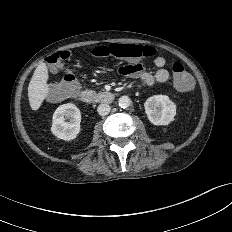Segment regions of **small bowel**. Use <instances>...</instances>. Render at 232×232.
I'll return each instance as SVG.
<instances>
[{
    "instance_id": "small-bowel-1",
    "label": "small bowel",
    "mask_w": 232,
    "mask_h": 232,
    "mask_svg": "<svg viewBox=\"0 0 232 232\" xmlns=\"http://www.w3.org/2000/svg\"><path fill=\"white\" fill-rule=\"evenodd\" d=\"M154 65L157 68L155 73L147 71L142 64L137 68L122 66L118 69V72L122 75L138 78L148 87H152L156 82L164 83L168 81L170 74L169 71L165 68V58L162 56H157L154 59Z\"/></svg>"
}]
</instances>
